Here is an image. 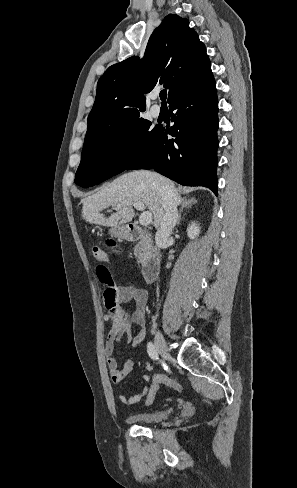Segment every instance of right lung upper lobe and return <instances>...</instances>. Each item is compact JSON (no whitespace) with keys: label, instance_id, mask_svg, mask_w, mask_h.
I'll return each mask as SVG.
<instances>
[{"label":"right lung upper lobe","instance_id":"right-lung-upper-lobe-1","mask_svg":"<svg viewBox=\"0 0 297 488\" xmlns=\"http://www.w3.org/2000/svg\"><path fill=\"white\" fill-rule=\"evenodd\" d=\"M210 75L205 45L187 19L170 14L150 36L142 60L130 57L110 66L101 76L86 137H95L140 118V112L145 110L143 94L157 83L169 90L170 104Z\"/></svg>","mask_w":297,"mask_h":488}]
</instances>
